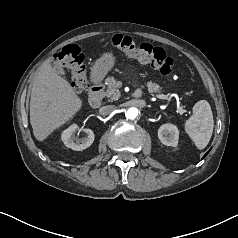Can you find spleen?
Here are the masks:
<instances>
[{
    "label": "spleen",
    "instance_id": "spleen-1",
    "mask_svg": "<svg viewBox=\"0 0 238 238\" xmlns=\"http://www.w3.org/2000/svg\"><path fill=\"white\" fill-rule=\"evenodd\" d=\"M213 128L214 120L210 104L206 100L198 101L193 106L192 116L184 124L185 132L195 146L202 150L208 145Z\"/></svg>",
    "mask_w": 238,
    "mask_h": 238
}]
</instances>
